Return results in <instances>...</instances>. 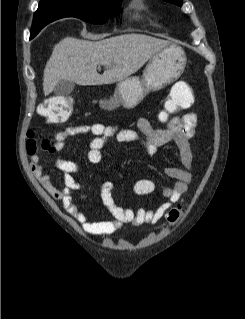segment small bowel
<instances>
[{
    "label": "small bowel",
    "mask_w": 245,
    "mask_h": 319,
    "mask_svg": "<svg viewBox=\"0 0 245 319\" xmlns=\"http://www.w3.org/2000/svg\"><path fill=\"white\" fill-rule=\"evenodd\" d=\"M183 91L187 104L191 106L194 96L189 84L185 81L176 82L172 91ZM197 116L193 112L182 116H174L167 121L166 128L156 129L145 117H140L136 128H122L118 126L93 124L70 126L53 136V152H61L69 138L80 134H92L95 138L91 141L88 149V160L97 164L102 159V147L112 141L120 143L135 142L139 144L149 156L156 154L159 147L168 143H174L179 151V157L183 167L170 166L164 168V174L173 180L170 186L162 189V195L166 201L152 209L125 208L116 204L114 199V183L107 181L101 185V198L104 205L112 215L110 220H92L79 210L73 196L75 191L83 189V186L75 179L74 175L81 174L80 166L69 159L57 158L56 167L62 172L64 187L57 188L49 175L43 173V167L38 158L34 157L31 163L33 174L37 177L43 188L56 200L61 201L66 211L81 223L83 229L91 234L107 236L124 224L153 225L158 223L171 208L187 192L192 180L193 151L191 139L195 136ZM156 183L152 179H140L132 185V190L137 195H147L155 192Z\"/></svg>",
    "instance_id": "small-bowel-1"
}]
</instances>
